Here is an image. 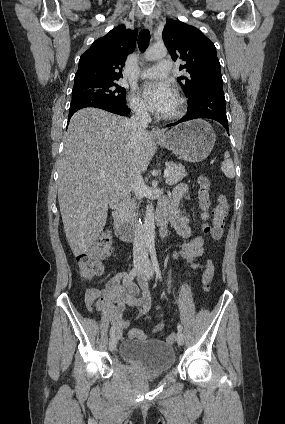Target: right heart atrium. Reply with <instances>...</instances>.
Listing matches in <instances>:
<instances>
[{"mask_svg": "<svg viewBox=\"0 0 285 424\" xmlns=\"http://www.w3.org/2000/svg\"><path fill=\"white\" fill-rule=\"evenodd\" d=\"M128 101L131 109L137 115L146 116L148 114L147 105L135 92L130 93Z\"/></svg>", "mask_w": 285, "mask_h": 424, "instance_id": "d8ad5b80", "label": "right heart atrium"}]
</instances>
